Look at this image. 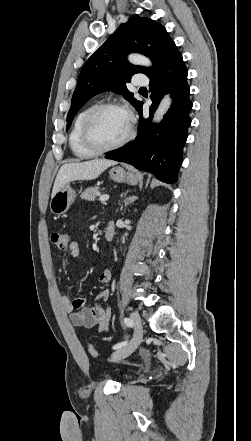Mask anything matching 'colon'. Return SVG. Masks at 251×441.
Returning a JSON list of instances; mask_svg holds the SVG:
<instances>
[{
	"mask_svg": "<svg viewBox=\"0 0 251 441\" xmlns=\"http://www.w3.org/2000/svg\"><path fill=\"white\" fill-rule=\"evenodd\" d=\"M49 238L51 244L58 249H66L70 243L69 234L63 231H52ZM87 349L90 355H97L96 348L93 344H88Z\"/></svg>",
	"mask_w": 251,
	"mask_h": 441,
	"instance_id": "colon-1",
	"label": "colon"
}]
</instances>
